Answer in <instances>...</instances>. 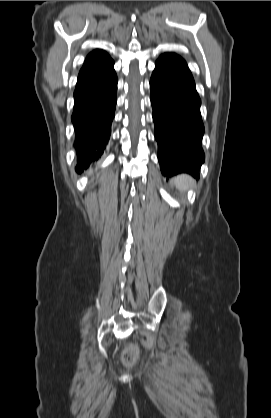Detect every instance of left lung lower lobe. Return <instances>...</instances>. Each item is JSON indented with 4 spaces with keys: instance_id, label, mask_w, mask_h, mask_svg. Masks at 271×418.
I'll return each instance as SVG.
<instances>
[{
    "instance_id": "0a47b994",
    "label": "left lung lower lobe",
    "mask_w": 271,
    "mask_h": 418,
    "mask_svg": "<svg viewBox=\"0 0 271 418\" xmlns=\"http://www.w3.org/2000/svg\"><path fill=\"white\" fill-rule=\"evenodd\" d=\"M150 89L162 174L171 177L186 172L198 178L205 159L201 146L204 125L201 100L186 62L175 53L161 55Z\"/></svg>"
}]
</instances>
